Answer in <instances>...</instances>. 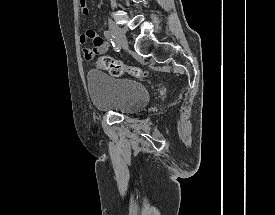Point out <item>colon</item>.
I'll list each match as a JSON object with an SVG mask.
<instances>
[{"label":"colon","mask_w":275,"mask_h":215,"mask_svg":"<svg viewBox=\"0 0 275 215\" xmlns=\"http://www.w3.org/2000/svg\"><path fill=\"white\" fill-rule=\"evenodd\" d=\"M86 2L87 0H80V4L83 9L86 8ZM95 65L98 68L107 71L112 76H119L123 73H127L135 78H145L149 75L148 71L143 70L138 66L124 64L123 62L113 59L107 55L98 57L95 61Z\"/></svg>","instance_id":"5ec220e1"}]
</instances>
